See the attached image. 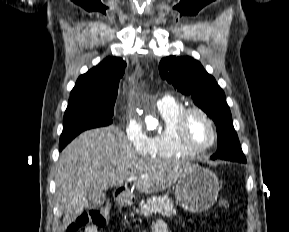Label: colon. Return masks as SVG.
I'll return each mask as SVG.
<instances>
[{
  "label": "colon",
  "instance_id": "1",
  "mask_svg": "<svg viewBox=\"0 0 289 232\" xmlns=\"http://www.w3.org/2000/svg\"><path fill=\"white\" fill-rule=\"evenodd\" d=\"M219 205L223 209H228L230 204L227 198L222 197L219 200ZM108 218L109 208L106 206L100 209L84 211L69 224L67 232H79L82 228L90 225L97 226L98 228L103 227L106 225Z\"/></svg>",
  "mask_w": 289,
  "mask_h": 232
}]
</instances>
